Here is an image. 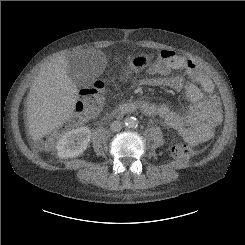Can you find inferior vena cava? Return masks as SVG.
Listing matches in <instances>:
<instances>
[{
    "label": "inferior vena cava",
    "mask_w": 245,
    "mask_h": 245,
    "mask_svg": "<svg viewBox=\"0 0 245 245\" xmlns=\"http://www.w3.org/2000/svg\"><path fill=\"white\" fill-rule=\"evenodd\" d=\"M110 128L113 132H119L122 129V122L114 121L111 123Z\"/></svg>",
    "instance_id": "1"
}]
</instances>
